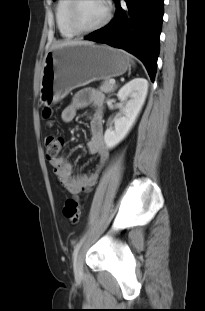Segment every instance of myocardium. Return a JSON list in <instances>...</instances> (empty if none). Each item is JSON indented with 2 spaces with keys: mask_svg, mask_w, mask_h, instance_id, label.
Wrapping results in <instances>:
<instances>
[{
  "mask_svg": "<svg viewBox=\"0 0 205 311\" xmlns=\"http://www.w3.org/2000/svg\"><path fill=\"white\" fill-rule=\"evenodd\" d=\"M81 0H71L68 8V21L71 26V28L77 33V34H89L96 31L101 30L104 28L111 20L112 17V5L109 0H104L106 4V15L104 19L97 24L94 27L91 28H83L78 20H77V8L79 5V2Z\"/></svg>",
  "mask_w": 205,
  "mask_h": 311,
  "instance_id": "f54148a6",
  "label": "myocardium"
}]
</instances>
